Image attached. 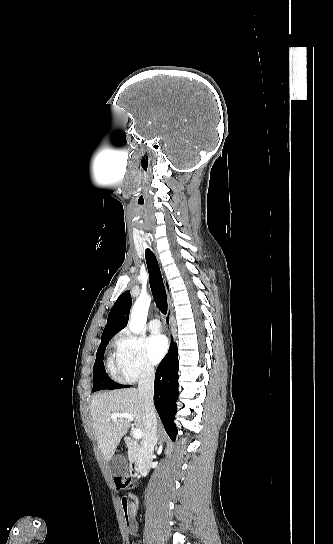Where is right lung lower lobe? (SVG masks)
Segmentation results:
<instances>
[{
	"mask_svg": "<svg viewBox=\"0 0 333 544\" xmlns=\"http://www.w3.org/2000/svg\"><path fill=\"white\" fill-rule=\"evenodd\" d=\"M178 350L175 343H171L168 354L159 364L154 382V404L171 438H176V426L174 423L176 414V401L178 400Z\"/></svg>",
	"mask_w": 333,
	"mask_h": 544,
	"instance_id": "obj_1",
	"label": "right lung lower lobe"
}]
</instances>
